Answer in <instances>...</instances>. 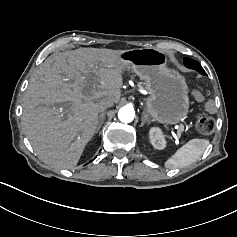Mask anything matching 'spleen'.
I'll return each mask as SVG.
<instances>
[{"mask_svg":"<svg viewBox=\"0 0 237 237\" xmlns=\"http://www.w3.org/2000/svg\"><path fill=\"white\" fill-rule=\"evenodd\" d=\"M206 139H192L179 148L176 153L165 162L167 169L184 168L196 162L208 147Z\"/></svg>","mask_w":237,"mask_h":237,"instance_id":"3e777b00","label":"spleen"}]
</instances>
